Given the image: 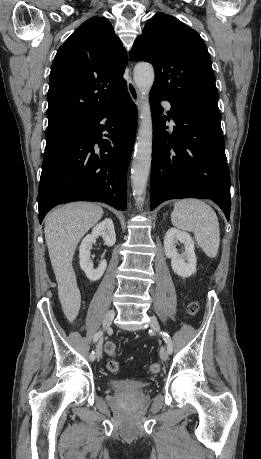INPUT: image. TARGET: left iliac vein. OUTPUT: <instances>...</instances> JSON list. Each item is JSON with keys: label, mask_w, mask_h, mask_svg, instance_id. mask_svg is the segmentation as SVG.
Masks as SVG:
<instances>
[{"label": "left iliac vein", "mask_w": 261, "mask_h": 459, "mask_svg": "<svg viewBox=\"0 0 261 459\" xmlns=\"http://www.w3.org/2000/svg\"><path fill=\"white\" fill-rule=\"evenodd\" d=\"M150 327L154 330V331H160V325L157 321L156 318L154 317H151L150 318ZM160 358L163 360V361H166L168 359V351L165 347H161L160 349Z\"/></svg>", "instance_id": "left-iliac-vein-1"}]
</instances>
